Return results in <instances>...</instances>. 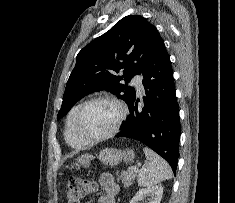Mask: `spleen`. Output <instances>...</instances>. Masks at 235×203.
I'll return each mask as SVG.
<instances>
[{
  "mask_svg": "<svg viewBox=\"0 0 235 203\" xmlns=\"http://www.w3.org/2000/svg\"><path fill=\"white\" fill-rule=\"evenodd\" d=\"M145 156L148 160L138 173V185L151 187L163 180L172 178V170L169 164L151 149L145 147Z\"/></svg>",
  "mask_w": 235,
  "mask_h": 203,
  "instance_id": "3e777b00",
  "label": "spleen"
}]
</instances>
